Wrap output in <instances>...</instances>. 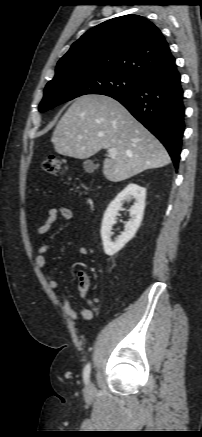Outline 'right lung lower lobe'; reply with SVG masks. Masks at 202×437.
Returning a JSON list of instances; mask_svg holds the SVG:
<instances>
[{
	"label": "right lung lower lobe",
	"mask_w": 202,
	"mask_h": 437,
	"mask_svg": "<svg viewBox=\"0 0 202 437\" xmlns=\"http://www.w3.org/2000/svg\"><path fill=\"white\" fill-rule=\"evenodd\" d=\"M153 133L178 167L185 129L181 77L175 61L145 76L134 90L110 95Z\"/></svg>",
	"instance_id": "1"
}]
</instances>
